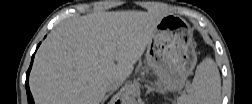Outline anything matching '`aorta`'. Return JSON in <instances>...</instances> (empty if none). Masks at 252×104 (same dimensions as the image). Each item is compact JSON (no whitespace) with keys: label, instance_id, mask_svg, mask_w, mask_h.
<instances>
[{"label":"aorta","instance_id":"obj_1","mask_svg":"<svg viewBox=\"0 0 252 104\" xmlns=\"http://www.w3.org/2000/svg\"><path fill=\"white\" fill-rule=\"evenodd\" d=\"M122 102L124 104H133V103H135V99L132 96H129L126 94L123 96Z\"/></svg>","mask_w":252,"mask_h":104}]
</instances>
